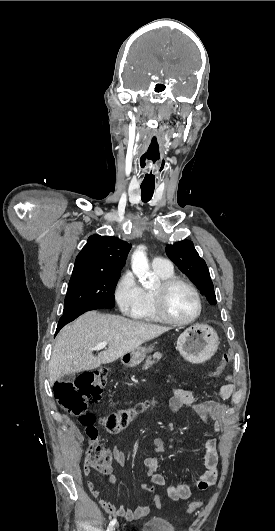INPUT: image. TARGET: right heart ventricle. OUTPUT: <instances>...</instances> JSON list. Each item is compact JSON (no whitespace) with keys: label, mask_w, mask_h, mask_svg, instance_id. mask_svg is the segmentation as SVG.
Segmentation results:
<instances>
[{"label":"right heart ventricle","mask_w":275,"mask_h":531,"mask_svg":"<svg viewBox=\"0 0 275 531\" xmlns=\"http://www.w3.org/2000/svg\"><path fill=\"white\" fill-rule=\"evenodd\" d=\"M158 275L161 279H165L173 276V272H158ZM135 318L140 319L145 322H161L162 319L158 315L155 302L153 298L152 291H145V304L143 309L135 316Z\"/></svg>","instance_id":"right-heart-ventricle-1"}]
</instances>
